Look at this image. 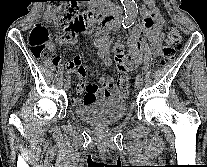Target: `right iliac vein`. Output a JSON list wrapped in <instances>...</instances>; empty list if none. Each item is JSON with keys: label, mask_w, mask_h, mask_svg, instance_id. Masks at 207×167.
<instances>
[{"label": "right iliac vein", "mask_w": 207, "mask_h": 167, "mask_svg": "<svg viewBox=\"0 0 207 167\" xmlns=\"http://www.w3.org/2000/svg\"><path fill=\"white\" fill-rule=\"evenodd\" d=\"M65 90H69L70 89V82H66L64 85Z\"/></svg>", "instance_id": "63e3f726"}]
</instances>
